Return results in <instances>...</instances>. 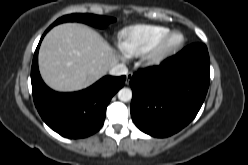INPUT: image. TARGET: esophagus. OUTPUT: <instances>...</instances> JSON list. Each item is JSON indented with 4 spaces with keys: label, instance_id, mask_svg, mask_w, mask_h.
<instances>
[{
    "label": "esophagus",
    "instance_id": "esophagus-1",
    "mask_svg": "<svg viewBox=\"0 0 248 165\" xmlns=\"http://www.w3.org/2000/svg\"><path fill=\"white\" fill-rule=\"evenodd\" d=\"M132 76H133L132 72L127 73V75H126V84L127 85L129 84Z\"/></svg>",
    "mask_w": 248,
    "mask_h": 165
}]
</instances>
